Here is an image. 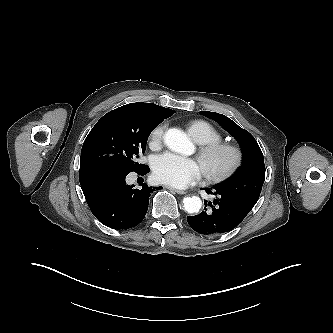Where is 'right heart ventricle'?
<instances>
[{
  "label": "right heart ventricle",
  "mask_w": 333,
  "mask_h": 333,
  "mask_svg": "<svg viewBox=\"0 0 333 333\" xmlns=\"http://www.w3.org/2000/svg\"><path fill=\"white\" fill-rule=\"evenodd\" d=\"M191 137L200 145L220 142L222 135L211 123L204 120L191 121L187 126Z\"/></svg>",
  "instance_id": "e07e8e85"
}]
</instances>
